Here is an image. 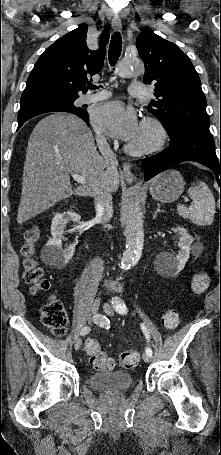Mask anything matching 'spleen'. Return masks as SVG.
Wrapping results in <instances>:
<instances>
[{"label": "spleen", "instance_id": "spleen-1", "mask_svg": "<svg viewBox=\"0 0 221 455\" xmlns=\"http://www.w3.org/2000/svg\"><path fill=\"white\" fill-rule=\"evenodd\" d=\"M188 194L192 204L189 208L178 205L179 216L199 226L211 225L215 214V199L209 187L203 181H197Z\"/></svg>", "mask_w": 221, "mask_h": 455}]
</instances>
